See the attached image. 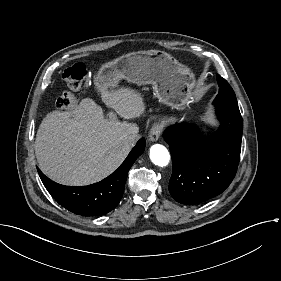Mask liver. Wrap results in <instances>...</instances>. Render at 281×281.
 Here are the masks:
<instances>
[{"label":"liver","instance_id":"1","mask_svg":"<svg viewBox=\"0 0 281 281\" xmlns=\"http://www.w3.org/2000/svg\"><path fill=\"white\" fill-rule=\"evenodd\" d=\"M101 99L125 119L139 117L145 111L141 94L130 88L104 91ZM138 132L137 124L120 122L114 113L105 119L102 108L85 98L71 112L46 115L36 134L35 155L41 171L53 181L89 185L120 166L134 145L120 137Z\"/></svg>","mask_w":281,"mask_h":281}]
</instances>
